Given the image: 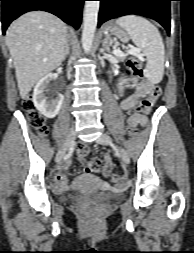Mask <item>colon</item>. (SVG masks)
I'll use <instances>...</instances> for the list:
<instances>
[{"label":"colon","instance_id":"5ec220e1","mask_svg":"<svg viewBox=\"0 0 194 253\" xmlns=\"http://www.w3.org/2000/svg\"><path fill=\"white\" fill-rule=\"evenodd\" d=\"M127 66L134 74L135 77L141 78L143 76V67L141 60L136 57H130L127 60ZM160 94L158 87L147 98L143 99L136 107V113L145 114L147 113L155 104ZM23 109L27 113L29 123L36 129L37 133L41 136H44L48 132V127L46 125L44 117L35 110L34 104L30 97H27L23 101ZM130 135H135L137 132L136 127L128 126ZM88 154V147L84 144H80L77 148V158L81 161L85 160V157ZM85 168L88 172L99 173L103 172L104 165L99 158H92L88 161H84ZM111 181L113 183H119L122 180V175L119 173H113L110 175Z\"/></svg>","mask_w":194,"mask_h":253}]
</instances>
